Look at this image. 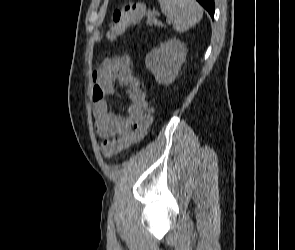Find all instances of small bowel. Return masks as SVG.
<instances>
[{
    "mask_svg": "<svg viewBox=\"0 0 295 250\" xmlns=\"http://www.w3.org/2000/svg\"><path fill=\"white\" fill-rule=\"evenodd\" d=\"M94 129L102 140L117 139L123 149L136 144L134 128L146 116L148 101L140 81L132 74L131 59L128 55L105 59L92 73ZM116 86L123 88L130 104L126 116L117 115L111 108L108 97Z\"/></svg>",
    "mask_w": 295,
    "mask_h": 250,
    "instance_id": "obj_1",
    "label": "small bowel"
}]
</instances>
